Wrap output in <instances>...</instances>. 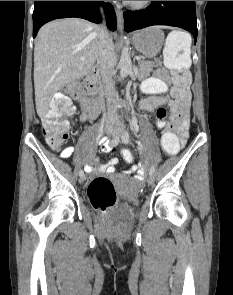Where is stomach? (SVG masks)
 Returning a JSON list of instances; mask_svg holds the SVG:
<instances>
[{
  "instance_id": "0dacf381",
  "label": "stomach",
  "mask_w": 233,
  "mask_h": 295,
  "mask_svg": "<svg viewBox=\"0 0 233 295\" xmlns=\"http://www.w3.org/2000/svg\"><path fill=\"white\" fill-rule=\"evenodd\" d=\"M132 40L140 54L146 58H154L163 46L164 33L157 26L147 27L136 31Z\"/></svg>"
}]
</instances>
